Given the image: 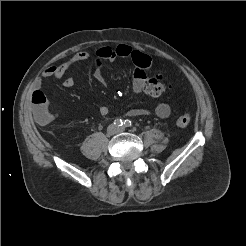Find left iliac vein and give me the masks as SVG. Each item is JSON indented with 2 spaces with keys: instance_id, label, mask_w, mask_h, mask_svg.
Listing matches in <instances>:
<instances>
[{
  "instance_id": "left-iliac-vein-1",
  "label": "left iliac vein",
  "mask_w": 246,
  "mask_h": 246,
  "mask_svg": "<svg viewBox=\"0 0 246 246\" xmlns=\"http://www.w3.org/2000/svg\"><path fill=\"white\" fill-rule=\"evenodd\" d=\"M118 131H124V127L119 128Z\"/></svg>"
}]
</instances>
